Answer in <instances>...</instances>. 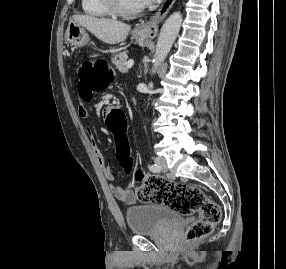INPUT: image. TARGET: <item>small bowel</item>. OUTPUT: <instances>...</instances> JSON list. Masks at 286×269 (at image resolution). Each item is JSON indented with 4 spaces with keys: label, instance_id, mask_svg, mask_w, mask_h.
Masks as SVG:
<instances>
[{
    "label": "small bowel",
    "instance_id": "c3829d8e",
    "mask_svg": "<svg viewBox=\"0 0 286 269\" xmlns=\"http://www.w3.org/2000/svg\"><path fill=\"white\" fill-rule=\"evenodd\" d=\"M109 113H110V108H103V111H100L99 120H106V117L110 116ZM78 115L80 119L82 120H85L88 117V110L84 102H81L78 106ZM86 130L90 137V142H91V146L94 152L95 159L99 167L101 168L105 178L111 182L113 180L112 172L110 168L105 166L104 157L100 149L97 146L94 134L89 126L86 127ZM116 158L118 159L117 155H116ZM128 183L129 182H127V184ZM110 189H111L113 196L125 204H132L136 200V196L133 193V191H131L127 187H117V186L111 185Z\"/></svg>",
    "mask_w": 286,
    "mask_h": 269
}]
</instances>
